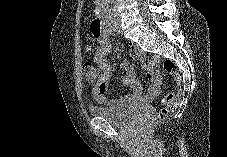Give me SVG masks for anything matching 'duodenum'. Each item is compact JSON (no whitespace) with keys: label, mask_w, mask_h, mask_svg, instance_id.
I'll list each match as a JSON object with an SVG mask.
<instances>
[{"label":"duodenum","mask_w":227,"mask_h":157,"mask_svg":"<svg viewBox=\"0 0 227 157\" xmlns=\"http://www.w3.org/2000/svg\"><path fill=\"white\" fill-rule=\"evenodd\" d=\"M108 29L109 26L105 20L103 13H99L94 20V25H90V30H95V32H104Z\"/></svg>","instance_id":"410a0bca"}]
</instances>
